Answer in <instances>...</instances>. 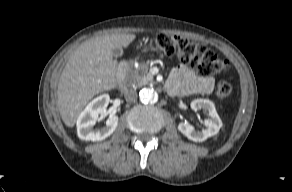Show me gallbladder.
Returning <instances> with one entry per match:
<instances>
[{"mask_svg":"<svg viewBox=\"0 0 292 192\" xmlns=\"http://www.w3.org/2000/svg\"><path fill=\"white\" fill-rule=\"evenodd\" d=\"M112 54L114 57H121L123 55V49L120 47L113 48Z\"/></svg>","mask_w":292,"mask_h":192,"instance_id":"gallbladder-1","label":"gallbladder"}]
</instances>
